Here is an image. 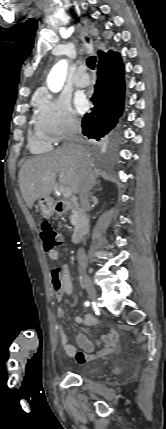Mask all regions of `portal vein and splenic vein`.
Masks as SVG:
<instances>
[{
    "label": "portal vein and splenic vein",
    "instance_id": "18ae733b",
    "mask_svg": "<svg viewBox=\"0 0 166 429\" xmlns=\"http://www.w3.org/2000/svg\"><path fill=\"white\" fill-rule=\"evenodd\" d=\"M60 192L63 194L65 198H69L72 195V191L69 187H61Z\"/></svg>",
    "mask_w": 166,
    "mask_h": 429
}]
</instances>
